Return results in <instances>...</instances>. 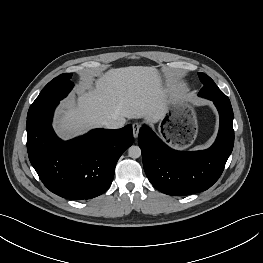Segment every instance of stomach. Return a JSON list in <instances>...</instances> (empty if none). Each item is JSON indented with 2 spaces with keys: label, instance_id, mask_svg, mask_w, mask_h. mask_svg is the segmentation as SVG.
<instances>
[{
  "label": "stomach",
  "instance_id": "0dacf381",
  "mask_svg": "<svg viewBox=\"0 0 263 263\" xmlns=\"http://www.w3.org/2000/svg\"><path fill=\"white\" fill-rule=\"evenodd\" d=\"M167 107L170 111L169 119L175 127L165 124L170 143L176 148L183 149L193 144L197 134L196 113L193 106L175 95H167ZM177 125V126H176ZM187 126L186 129L183 127Z\"/></svg>",
  "mask_w": 263,
  "mask_h": 263
}]
</instances>
